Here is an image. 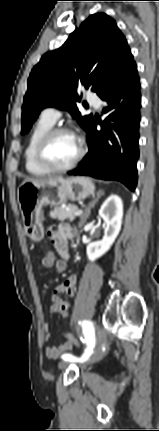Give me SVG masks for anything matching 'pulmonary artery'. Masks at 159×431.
Listing matches in <instances>:
<instances>
[{
    "label": "pulmonary artery",
    "mask_w": 159,
    "mask_h": 431,
    "mask_svg": "<svg viewBox=\"0 0 159 431\" xmlns=\"http://www.w3.org/2000/svg\"><path fill=\"white\" fill-rule=\"evenodd\" d=\"M86 99L90 104H92L96 108H99L101 105V102L98 99V97L91 92L87 93ZM60 115H61L60 112L53 107L46 108L42 112V117H44L46 120L50 121L51 123H55L60 117Z\"/></svg>",
    "instance_id": "pulmonary-artery-1"
}]
</instances>
